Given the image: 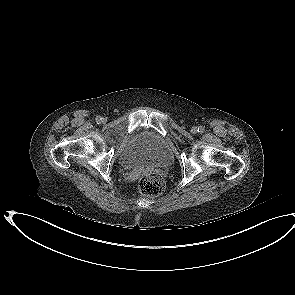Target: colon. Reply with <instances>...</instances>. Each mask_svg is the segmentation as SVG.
Masks as SVG:
<instances>
[{
  "label": "colon",
  "mask_w": 295,
  "mask_h": 295,
  "mask_svg": "<svg viewBox=\"0 0 295 295\" xmlns=\"http://www.w3.org/2000/svg\"><path fill=\"white\" fill-rule=\"evenodd\" d=\"M165 188L163 178L156 173H148L141 176L138 189L145 196L155 197L163 193Z\"/></svg>",
  "instance_id": "colon-1"
}]
</instances>
